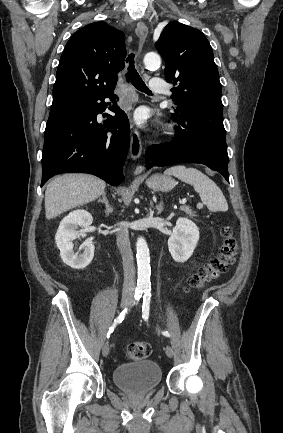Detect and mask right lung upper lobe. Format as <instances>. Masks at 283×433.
<instances>
[{"label":"right lung upper lobe","instance_id":"right-lung-upper-lobe-1","mask_svg":"<svg viewBox=\"0 0 283 433\" xmlns=\"http://www.w3.org/2000/svg\"><path fill=\"white\" fill-rule=\"evenodd\" d=\"M125 35L99 21L73 34L60 58L51 110L65 108L114 91L124 68Z\"/></svg>","mask_w":283,"mask_h":433}]
</instances>
